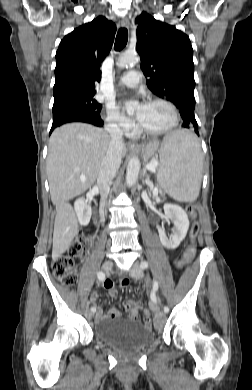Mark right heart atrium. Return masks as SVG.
<instances>
[{
	"label": "right heart atrium",
	"mask_w": 252,
	"mask_h": 390,
	"mask_svg": "<svg viewBox=\"0 0 252 390\" xmlns=\"http://www.w3.org/2000/svg\"><path fill=\"white\" fill-rule=\"evenodd\" d=\"M106 121L108 125L124 135H130L134 132L135 125L132 120L122 114L112 103L106 106Z\"/></svg>",
	"instance_id": "obj_1"
}]
</instances>
